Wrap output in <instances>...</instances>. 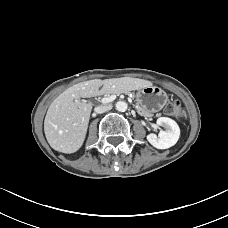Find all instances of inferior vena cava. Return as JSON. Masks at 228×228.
Listing matches in <instances>:
<instances>
[{
  "instance_id": "602c4592",
  "label": "inferior vena cava",
  "mask_w": 228,
  "mask_h": 228,
  "mask_svg": "<svg viewBox=\"0 0 228 228\" xmlns=\"http://www.w3.org/2000/svg\"><path fill=\"white\" fill-rule=\"evenodd\" d=\"M112 106L109 105V104H105V105H99L97 107H95V112L97 113H104V112H107L109 110H111Z\"/></svg>"
}]
</instances>
